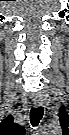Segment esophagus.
Returning <instances> with one entry per match:
<instances>
[{"instance_id":"esophagus-1","label":"esophagus","mask_w":69,"mask_h":135,"mask_svg":"<svg viewBox=\"0 0 69 135\" xmlns=\"http://www.w3.org/2000/svg\"><path fill=\"white\" fill-rule=\"evenodd\" d=\"M33 104H34L35 107H42V105H43V103L41 101H39V100H35L33 102Z\"/></svg>"}]
</instances>
